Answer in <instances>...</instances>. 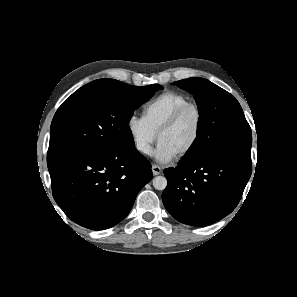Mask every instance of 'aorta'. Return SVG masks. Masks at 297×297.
<instances>
[{
	"label": "aorta",
	"instance_id": "obj_1",
	"mask_svg": "<svg viewBox=\"0 0 297 297\" xmlns=\"http://www.w3.org/2000/svg\"><path fill=\"white\" fill-rule=\"evenodd\" d=\"M153 186L157 190H164L167 186V179L164 176H156L153 179Z\"/></svg>",
	"mask_w": 297,
	"mask_h": 297
}]
</instances>
